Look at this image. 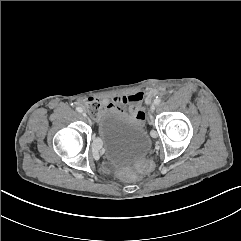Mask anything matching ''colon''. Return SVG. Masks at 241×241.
I'll return each mask as SVG.
<instances>
[{
	"label": "colon",
	"instance_id": "colon-1",
	"mask_svg": "<svg viewBox=\"0 0 241 241\" xmlns=\"http://www.w3.org/2000/svg\"><path fill=\"white\" fill-rule=\"evenodd\" d=\"M85 108L90 115L93 117H98L102 113L104 106L98 99L89 98L85 103ZM149 170L150 165L148 163H140L136 166V168H123L119 172V175L126 180L134 181L137 180L142 173H145Z\"/></svg>",
	"mask_w": 241,
	"mask_h": 241
}]
</instances>
